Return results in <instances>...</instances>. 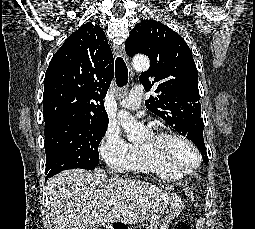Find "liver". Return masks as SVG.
I'll return each instance as SVG.
<instances>
[{"mask_svg": "<svg viewBox=\"0 0 255 229\" xmlns=\"http://www.w3.org/2000/svg\"><path fill=\"white\" fill-rule=\"evenodd\" d=\"M46 190L54 229L143 222L176 196L141 180H108L99 168L61 172L48 181Z\"/></svg>", "mask_w": 255, "mask_h": 229, "instance_id": "liver-1", "label": "liver"}]
</instances>
